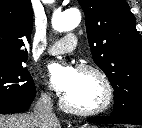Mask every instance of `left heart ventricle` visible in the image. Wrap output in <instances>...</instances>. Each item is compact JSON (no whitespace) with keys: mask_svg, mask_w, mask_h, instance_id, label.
<instances>
[{"mask_svg":"<svg viewBox=\"0 0 142 128\" xmlns=\"http://www.w3.org/2000/svg\"><path fill=\"white\" fill-rule=\"evenodd\" d=\"M65 97L74 106L81 108H93L102 102L104 90L101 82L95 75L79 72L76 87Z\"/></svg>","mask_w":142,"mask_h":128,"instance_id":"left-heart-ventricle-1","label":"left heart ventricle"}]
</instances>
